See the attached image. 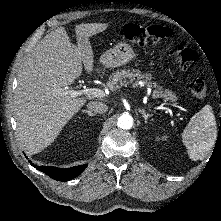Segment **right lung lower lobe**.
<instances>
[{"mask_svg":"<svg viewBox=\"0 0 221 221\" xmlns=\"http://www.w3.org/2000/svg\"><path fill=\"white\" fill-rule=\"evenodd\" d=\"M32 166L35 165L32 164ZM86 167L87 164L66 168V169L51 167V166H39L38 169L44 172L45 174H47L49 177H51L54 180L68 181L81 174Z\"/></svg>","mask_w":221,"mask_h":221,"instance_id":"right-lung-lower-lobe-1","label":"right lung lower lobe"}]
</instances>
